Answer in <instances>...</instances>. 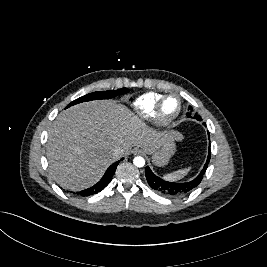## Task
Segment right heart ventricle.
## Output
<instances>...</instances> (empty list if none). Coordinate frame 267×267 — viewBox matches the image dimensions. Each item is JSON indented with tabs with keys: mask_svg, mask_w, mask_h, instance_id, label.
Wrapping results in <instances>:
<instances>
[{
	"mask_svg": "<svg viewBox=\"0 0 267 267\" xmlns=\"http://www.w3.org/2000/svg\"><path fill=\"white\" fill-rule=\"evenodd\" d=\"M162 96L156 92L145 93L133 102V108L143 118H149L153 115L154 107Z\"/></svg>",
	"mask_w": 267,
	"mask_h": 267,
	"instance_id": "1",
	"label": "right heart ventricle"
}]
</instances>
